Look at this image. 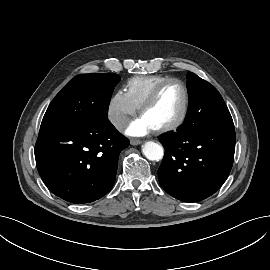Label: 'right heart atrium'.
Returning <instances> with one entry per match:
<instances>
[{
	"label": "right heart atrium",
	"mask_w": 270,
	"mask_h": 270,
	"mask_svg": "<svg viewBox=\"0 0 270 270\" xmlns=\"http://www.w3.org/2000/svg\"><path fill=\"white\" fill-rule=\"evenodd\" d=\"M137 108L123 90L115 91L108 102L107 119L118 131L124 129L130 118L135 115Z\"/></svg>",
	"instance_id": "obj_1"
}]
</instances>
